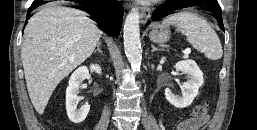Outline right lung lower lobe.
Masks as SVG:
<instances>
[{"label": "right lung lower lobe", "mask_w": 257, "mask_h": 130, "mask_svg": "<svg viewBox=\"0 0 257 130\" xmlns=\"http://www.w3.org/2000/svg\"><path fill=\"white\" fill-rule=\"evenodd\" d=\"M42 4L44 2L34 0L28 11L31 12ZM85 6L87 8L84 11L92 16L90 18L99 24L100 29L114 37L119 35L124 12L123 7L112 0H97Z\"/></svg>", "instance_id": "1"}]
</instances>
